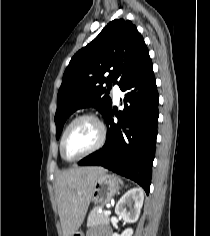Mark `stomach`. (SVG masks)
<instances>
[{"instance_id":"stomach-1","label":"stomach","mask_w":210,"mask_h":236,"mask_svg":"<svg viewBox=\"0 0 210 236\" xmlns=\"http://www.w3.org/2000/svg\"><path fill=\"white\" fill-rule=\"evenodd\" d=\"M119 189V181L112 175L103 174L99 176L93 185L91 201L95 204L104 205L108 203ZM73 236H84L82 232H76Z\"/></svg>"}]
</instances>
